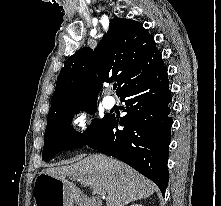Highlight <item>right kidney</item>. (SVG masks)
Listing matches in <instances>:
<instances>
[{
  "instance_id": "1",
  "label": "right kidney",
  "mask_w": 221,
  "mask_h": 206,
  "mask_svg": "<svg viewBox=\"0 0 221 206\" xmlns=\"http://www.w3.org/2000/svg\"><path fill=\"white\" fill-rule=\"evenodd\" d=\"M130 206H142L141 204H132Z\"/></svg>"
}]
</instances>
